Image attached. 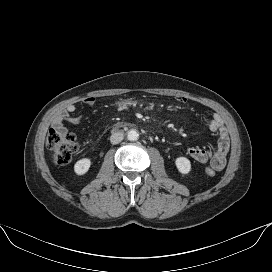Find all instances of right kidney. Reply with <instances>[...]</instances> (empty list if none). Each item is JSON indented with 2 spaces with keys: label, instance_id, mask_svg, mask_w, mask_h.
<instances>
[{
  "label": "right kidney",
  "instance_id": "1",
  "mask_svg": "<svg viewBox=\"0 0 272 272\" xmlns=\"http://www.w3.org/2000/svg\"><path fill=\"white\" fill-rule=\"evenodd\" d=\"M90 166L91 160L89 158H83L75 163L74 171L77 175H83L88 172Z\"/></svg>",
  "mask_w": 272,
  "mask_h": 272
}]
</instances>
